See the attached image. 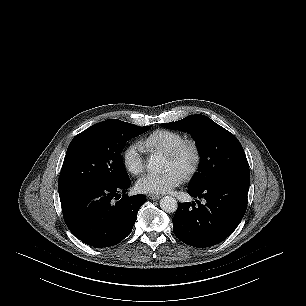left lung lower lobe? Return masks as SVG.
Here are the masks:
<instances>
[{"label":"left lung lower lobe","instance_id":"left-lung-lower-lobe-1","mask_svg":"<svg viewBox=\"0 0 306 306\" xmlns=\"http://www.w3.org/2000/svg\"><path fill=\"white\" fill-rule=\"evenodd\" d=\"M250 179L224 178L188 187L193 197L205 199L180 203L172 219L173 231L182 242L199 248L216 245L238 226L247 208Z\"/></svg>","mask_w":306,"mask_h":306}]
</instances>
